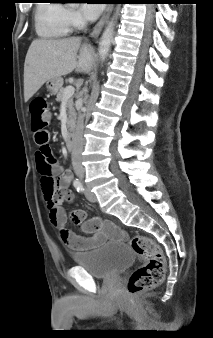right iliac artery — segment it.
Wrapping results in <instances>:
<instances>
[{"label": "right iliac artery", "instance_id": "82829eb1", "mask_svg": "<svg viewBox=\"0 0 213 338\" xmlns=\"http://www.w3.org/2000/svg\"><path fill=\"white\" fill-rule=\"evenodd\" d=\"M74 187L78 192H83L84 191V187L82 185V183L80 181H75L74 182Z\"/></svg>", "mask_w": 213, "mask_h": 338}]
</instances>
